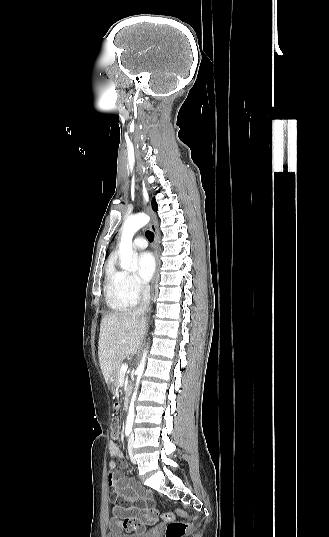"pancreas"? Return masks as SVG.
<instances>
[{
    "instance_id": "1",
    "label": "pancreas",
    "mask_w": 329,
    "mask_h": 537,
    "mask_svg": "<svg viewBox=\"0 0 329 537\" xmlns=\"http://www.w3.org/2000/svg\"><path fill=\"white\" fill-rule=\"evenodd\" d=\"M116 381H115V385H119L120 383V380H121V367H119L116 371Z\"/></svg>"
}]
</instances>
